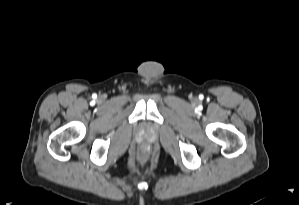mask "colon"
<instances>
[{
  "instance_id": "5ec220e1",
  "label": "colon",
  "mask_w": 299,
  "mask_h": 205,
  "mask_svg": "<svg viewBox=\"0 0 299 205\" xmlns=\"http://www.w3.org/2000/svg\"><path fill=\"white\" fill-rule=\"evenodd\" d=\"M140 159H141V161H144V156L142 155V156L140 157Z\"/></svg>"
}]
</instances>
